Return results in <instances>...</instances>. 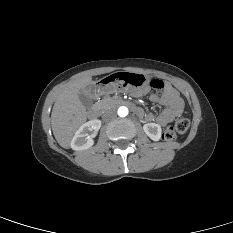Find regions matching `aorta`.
<instances>
[{"label":"aorta","instance_id":"aorta-1","mask_svg":"<svg viewBox=\"0 0 233 233\" xmlns=\"http://www.w3.org/2000/svg\"><path fill=\"white\" fill-rule=\"evenodd\" d=\"M117 113L120 117H125L128 115V108L125 106H121L118 108Z\"/></svg>","mask_w":233,"mask_h":233}]
</instances>
